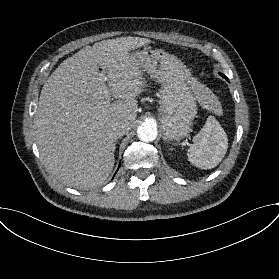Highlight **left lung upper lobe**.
Returning <instances> with one entry per match:
<instances>
[{"label":"left lung upper lobe","mask_w":279,"mask_h":279,"mask_svg":"<svg viewBox=\"0 0 279 279\" xmlns=\"http://www.w3.org/2000/svg\"><path fill=\"white\" fill-rule=\"evenodd\" d=\"M219 74L228 81V78L224 74H222V73H219Z\"/></svg>","instance_id":"obj_1"}]
</instances>
